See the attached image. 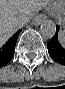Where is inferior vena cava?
Instances as JSON below:
<instances>
[{
    "label": "inferior vena cava",
    "instance_id": "inferior-vena-cava-1",
    "mask_svg": "<svg viewBox=\"0 0 65 89\" xmlns=\"http://www.w3.org/2000/svg\"><path fill=\"white\" fill-rule=\"evenodd\" d=\"M29 21V18H22L17 21V27L21 28L23 27L27 22Z\"/></svg>",
    "mask_w": 65,
    "mask_h": 89
}]
</instances>
